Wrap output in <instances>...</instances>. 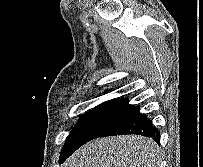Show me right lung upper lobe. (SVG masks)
Here are the masks:
<instances>
[{
    "mask_svg": "<svg viewBox=\"0 0 203 167\" xmlns=\"http://www.w3.org/2000/svg\"><path fill=\"white\" fill-rule=\"evenodd\" d=\"M104 103H111V104L118 105V106H133V105L128 104V99H126V98H117V99L109 100Z\"/></svg>",
    "mask_w": 203,
    "mask_h": 167,
    "instance_id": "cb5924a9",
    "label": "right lung upper lobe"
}]
</instances>
